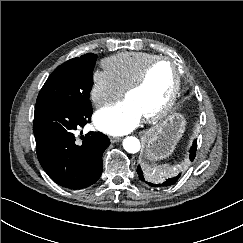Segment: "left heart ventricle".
<instances>
[{"label": "left heart ventricle", "mask_w": 243, "mask_h": 243, "mask_svg": "<svg viewBox=\"0 0 243 243\" xmlns=\"http://www.w3.org/2000/svg\"><path fill=\"white\" fill-rule=\"evenodd\" d=\"M174 82V65L169 61H161L152 67L145 83L130 92L126 98L132 101L145 116L163 104L169 96Z\"/></svg>", "instance_id": "b2bd125f"}]
</instances>
